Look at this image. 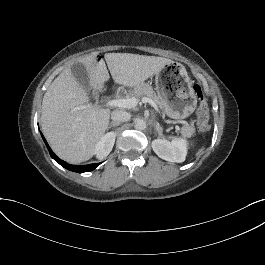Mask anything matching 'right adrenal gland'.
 I'll use <instances>...</instances> for the list:
<instances>
[{
    "label": "right adrenal gland",
    "mask_w": 265,
    "mask_h": 265,
    "mask_svg": "<svg viewBox=\"0 0 265 265\" xmlns=\"http://www.w3.org/2000/svg\"><path fill=\"white\" fill-rule=\"evenodd\" d=\"M119 125H120V123L112 122L111 125L109 126V130L112 129V131H113V130H115Z\"/></svg>",
    "instance_id": "obj_1"
}]
</instances>
